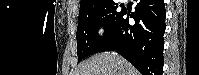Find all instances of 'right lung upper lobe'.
Listing matches in <instances>:
<instances>
[{"label":"right lung upper lobe","mask_w":199,"mask_h":75,"mask_svg":"<svg viewBox=\"0 0 199 75\" xmlns=\"http://www.w3.org/2000/svg\"><path fill=\"white\" fill-rule=\"evenodd\" d=\"M112 0H81L79 14L86 13Z\"/></svg>","instance_id":"1"}]
</instances>
